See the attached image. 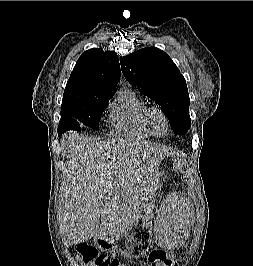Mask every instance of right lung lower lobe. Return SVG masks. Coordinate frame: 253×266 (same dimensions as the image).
Segmentation results:
<instances>
[{"instance_id": "98d812e1", "label": "right lung lower lobe", "mask_w": 253, "mask_h": 266, "mask_svg": "<svg viewBox=\"0 0 253 266\" xmlns=\"http://www.w3.org/2000/svg\"><path fill=\"white\" fill-rule=\"evenodd\" d=\"M62 134V131L61 130H58V135L60 136Z\"/></svg>"}]
</instances>
